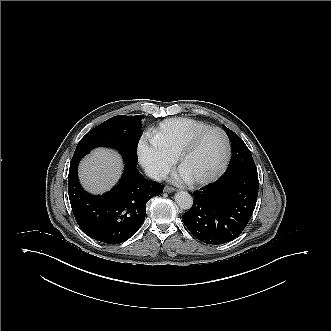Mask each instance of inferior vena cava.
<instances>
[{
	"mask_svg": "<svg viewBox=\"0 0 331 331\" xmlns=\"http://www.w3.org/2000/svg\"><path fill=\"white\" fill-rule=\"evenodd\" d=\"M145 175L152 180L161 181L166 178V173L159 167L146 166L144 168Z\"/></svg>",
	"mask_w": 331,
	"mask_h": 331,
	"instance_id": "inferior-vena-cava-1",
	"label": "inferior vena cava"
}]
</instances>
